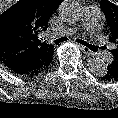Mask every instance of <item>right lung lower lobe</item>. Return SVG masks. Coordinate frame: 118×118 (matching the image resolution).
Returning <instances> with one entry per match:
<instances>
[{"label":"right lung lower lobe","mask_w":118,"mask_h":118,"mask_svg":"<svg viewBox=\"0 0 118 118\" xmlns=\"http://www.w3.org/2000/svg\"><path fill=\"white\" fill-rule=\"evenodd\" d=\"M2 63L9 71L20 76H34L43 71L34 63L28 64L23 61H5Z\"/></svg>","instance_id":"obj_1"}]
</instances>
